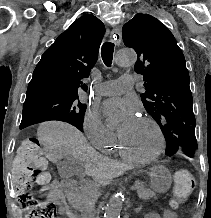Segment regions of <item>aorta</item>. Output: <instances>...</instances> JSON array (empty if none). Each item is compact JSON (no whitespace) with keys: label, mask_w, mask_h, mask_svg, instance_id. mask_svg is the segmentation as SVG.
I'll use <instances>...</instances> for the list:
<instances>
[{"label":"aorta","mask_w":211,"mask_h":218,"mask_svg":"<svg viewBox=\"0 0 211 218\" xmlns=\"http://www.w3.org/2000/svg\"><path fill=\"white\" fill-rule=\"evenodd\" d=\"M137 55L133 50H120L117 52L114 61L118 66L128 67L136 62ZM118 124V118L114 115L110 116L107 120L109 128H115ZM124 199L121 196L113 195L105 209V218H120Z\"/></svg>","instance_id":"obj_1"}]
</instances>
